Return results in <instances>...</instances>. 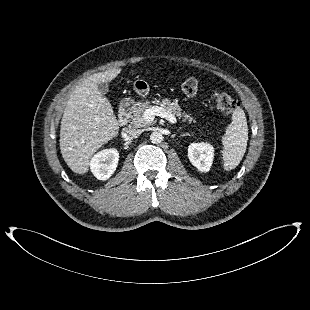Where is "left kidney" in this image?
Returning a JSON list of instances; mask_svg holds the SVG:
<instances>
[{
    "mask_svg": "<svg viewBox=\"0 0 310 310\" xmlns=\"http://www.w3.org/2000/svg\"><path fill=\"white\" fill-rule=\"evenodd\" d=\"M188 158L201 172H208L214 158V147L208 143H192L188 147Z\"/></svg>",
    "mask_w": 310,
    "mask_h": 310,
    "instance_id": "obj_1",
    "label": "left kidney"
}]
</instances>
